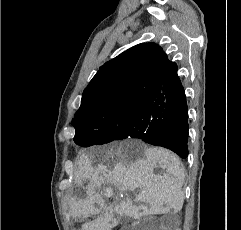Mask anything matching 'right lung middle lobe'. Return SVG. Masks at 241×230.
Masks as SVG:
<instances>
[{"label": "right lung middle lobe", "instance_id": "1", "mask_svg": "<svg viewBox=\"0 0 241 230\" xmlns=\"http://www.w3.org/2000/svg\"><path fill=\"white\" fill-rule=\"evenodd\" d=\"M151 103L130 109H115L101 121L78 123L74 142L83 147L102 145L129 138V133L145 131L150 123V119L144 116L145 108Z\"/></svg>", "mask_w": 241, "mask_h": 230}]
</instances>
